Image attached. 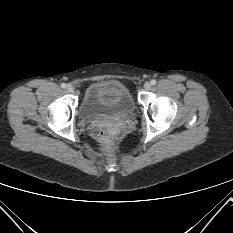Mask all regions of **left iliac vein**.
Listing matches in <instances>:
<instances>
[{"mask_svg": "<svg viewBox=\"0 0 233 233\" xmlns=\"http://www.w3.org/2000/svg\"><path fill=\"white\" fill-rule=\"evenodd\" d=\"M151 88V84L149 83V82H146L145 84H144V89L145 90H149Z\"/></svg>", "mask_w": 233, "mask_h": 233, "instance_id": "obj_1", "label": "left iliac vein"}]
</instances>
